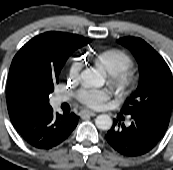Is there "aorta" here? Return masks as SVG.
Instances as JSON below:
<instances>
[{
	"mask_svg": "<svg viewBox=\"0 0 173 170\" xmlns=\"http://www.w3.org/2000/svg\"><path fill=\"white\" fill-rule=\"evenodd\" d=\"M83 83L88 86L99 87L104 83L102 75L94 69H85L80 75ZM113 121L110 116L101 114L96 117L95 125L100 130H109Z\"/></svg>",
	"mask_w": 173,
	"mask_h": 170,
	"instance_id": "obj_1",
	"label": "aorta"
}]
</instances>
